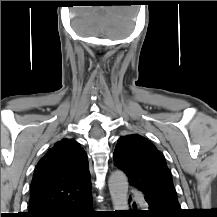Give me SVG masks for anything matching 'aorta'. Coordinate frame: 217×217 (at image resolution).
<instances>
[{
    "label": "aorta",
    "mask_w": 217,
    "mask_h": 217,
    "mask_svg": "<svg viewBox=\"0 0 217 217\" xmlns=\"http://www.w3.org/2000/svg\"><path fill=\"white\" fill-rule=\"evenodd\" d=\"M114 210H128V178L122 171H114L108 181Z\"/></svg>",
    "instance_id": "aorta-1"
}]
</instances>
